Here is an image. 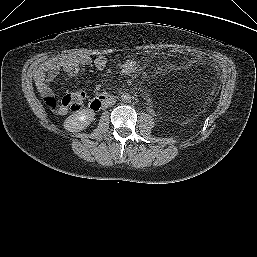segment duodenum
I'll return each instance as SVG.
<instances>
[{
  "mask_svg": "<svg viewBox=\"0 0 257 257\" xmlns=\"http://www.w3.org/2000/svg\"><path fill=\"white\" fill-rule=\"evenodd\" d=\"M114 101V95L110 93H101L90 101L89 107L93 111H99L102 108L111 105Z\"/></svg>",
  "mask_w": 257,
  "mask_h": 257,
  "instance_id": "duodenum-1",
  "label": "duodenum"
}]
</instances>
